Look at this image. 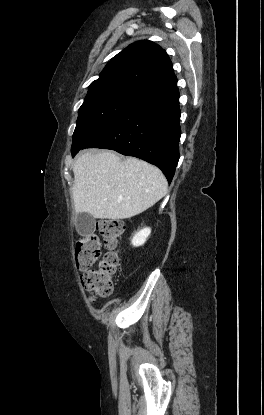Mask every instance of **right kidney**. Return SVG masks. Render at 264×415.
<instances>
[{"instance_id":"ca27d5eb","label":"right kidney","mask_w":264,"mask_h":415,"mask_svg":"<svg viewBox=\"0 0 264 415\" xmlns=\"http://www.w3.org/2000/svg\"><path fill=\"white\" fill-rule=\"evenodd\" d=\"M150 233H151L150 228H143L142 230L138 231L132 238V241H131L132 245L135 247L143 245L146 242Z\"/></svg>"}]
</instances>
